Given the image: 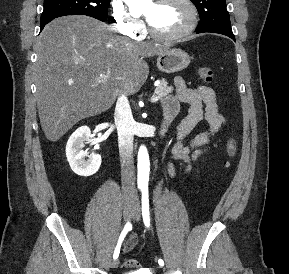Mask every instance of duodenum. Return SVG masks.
Instances as JSON below:
<instances>
[{"label":"duodenum","mask_w":289,"mask_h":274,"mask_svg":"<svg viewBox=\"0 0 289 274\" xmlns=\"http://www.w3.org/2000/svg\"><path fill=\"white\" fill-rule=\"evenodd\" d=\"M175 116V113H169V114H164L163 120H162V126H161V135H164L165 132L167 131L168 126L172 122L173 118Z\"/></svg>","instance_id":"1"}]
</instances>
